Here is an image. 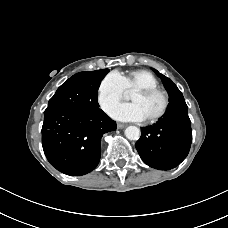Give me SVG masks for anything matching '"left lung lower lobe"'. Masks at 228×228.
I'll use <instances>...</instances> for the list:
<instances>
[{
	"mask_svg": "<svg viewBox=\"0 0 228 228\" xmlns=\"http://www.w3.org/2000/svg\"><path fill=\"white\" fill-rule=\"evenodd\" d=\"M183 96L169 102L165 114L156 124L141 128L135 147L142 160L152 168L170 170L188 155L191 141V121Z\"/></svg>",
	"mask_w": 228,
	"mask_h": 228,
	"instance_id": "0a47b994",
	"label": "left lung lower lobe"
}]
</instances>
